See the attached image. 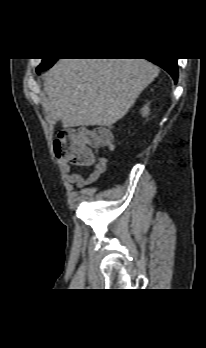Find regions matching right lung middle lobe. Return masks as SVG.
<instances>
[{"label": "right lung middle lobe", "instance_id": "right-lung-middle-lobe-1", "mask_svg": "<svg viewBox=\"0 0 206 348\" xmlns=\"http://www.w3.org/2000/svg\"><path fill=\"white\" fill-rule=\"evenodd\" d=\"M56 60L57 59H43L42 63L37 67V72L50 68Z\"/></svg>", "mask_w": 206, "mask_h": 348}]
</instances>
